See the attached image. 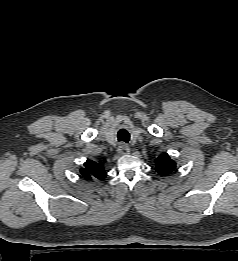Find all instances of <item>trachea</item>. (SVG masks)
Listing matches in <instances>:
<instances>
[{"label": "trachea", "mask_w": 238, "mask_h": 261, "mask_svg": "<svg viewBox=\"0 0 238 261\" xmlns=\"http://www.w3.org/2000/svg\"><path fill=\"white\" fill-rule=\"evenodd\" d=\"M118 141H123L125 143H128L130 140V134L125 129H120L117 134Z\"/></svg>", "instance_id": "trachea-1"}]
</instances>
